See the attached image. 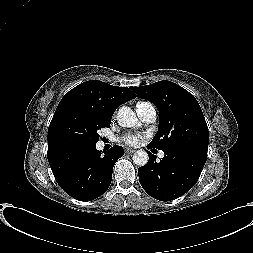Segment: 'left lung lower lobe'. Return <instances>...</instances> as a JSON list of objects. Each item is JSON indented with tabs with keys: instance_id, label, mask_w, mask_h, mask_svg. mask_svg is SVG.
I'll return each instance as SVG.
<instances>
[{
	"instance_id": "1",
	"label": "left lung lower lobe",
	"mask_w": 253,
	"mask_h": 253,
	"mask_svg": "<svg viewBox=\"0 0 253 253\" xmlns=\"http://www.w3.org/2000/svg\"><path fill=\"white\" fill-rule=\"evenodd\" d=\"M147 152L149 161L138 169L139 180L143 189L160 201L177 199L189 191L198 181L207 159L190 150L169 149L156 162V156Z\"/></svg>"
}]
</instances>
